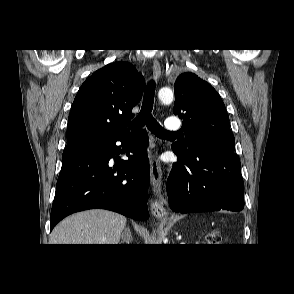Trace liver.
<instances>
[{
  "instance_id": "obj_1",
  "label": "liver",
  "mask_w": 294,
  "mask_h": 294,
  "mask_svg": "<svg viewBox=\"0 0 294 294\" xmlns=\"http://www.w3.org/2000/svg\"><path fill=\"white\" fill-rule=\"evenodd\" d=\"M127 219L107 210L76 213L61 221L50 235V244H118Z\"/></svg>"
}]
</instances>
